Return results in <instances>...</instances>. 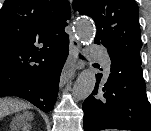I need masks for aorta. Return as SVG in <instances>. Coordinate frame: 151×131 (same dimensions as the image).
<instances>
[{
    "label": "aorta",
    "instance_id": "obj_1",
    "mask_svg": "<svg viewBox=\"0 0 151 131\" xmlns=\"http://www.w3.org/2000/svg\"><path fill=\"white\" fill-rule=\"evenodd\" d=\"M75 33L83 43H90L95 35V27L87 17H80L75 22ZM96 73L92 68L84 70L73 86V97L77 100L86 99L94 90Z\"/></svg>",
    "mask_w": 151,
    "mask_h": 131
}]
</instances>
